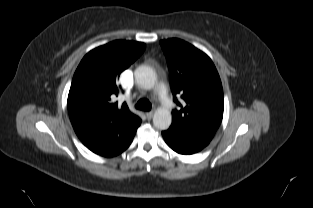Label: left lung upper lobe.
<instances>
[{"mask_svg":"<svg viewBox=\"0 0 313 208\" xmlns=\"http://www.w3.org/2000/svg\"><path fill=\"white\" fill-rule=\"evenodd\" d=\"M170 71L174 101L169 130L182 137L210 142L224 109L223 89L211 59L193 45L176 38L160 41ZM185 101L180 104L176 96Z\"/></svg>","mask_w":313,"mask_h":208,"instance_id":"5c2ea615","label":"left lung upper lobe"}]
</instances>
